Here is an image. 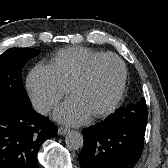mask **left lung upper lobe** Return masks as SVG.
Listing matches in <instances>:
<instances>
[{"label": "left lung upper lobe", "mask_w": 168, "mask_h": 168, "mask_svg": "<svg viewBox=\"0 0 168 168\" xmlns=\"http://www.w3.org/2000/svg\"><path fill=\"white\" fill-rule=\"evenodd\" d=\"M141 102L146 103V102H145V99H141L138 103H141ZM135 104H137V103H135Z\"/></svg>", "instance_id": "5c2ea615"}]
</instances>
